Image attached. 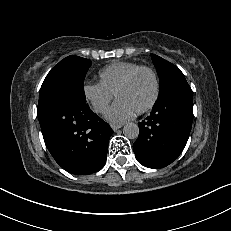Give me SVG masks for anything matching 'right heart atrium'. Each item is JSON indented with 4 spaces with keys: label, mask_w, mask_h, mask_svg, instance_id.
<instances>
[{
    "label": "right heart atrium",
    "mask_w": 231,
    "mask_h": 231,
    "mask_svg": "<svg viewBox=\"0 0 231 231\" xmlns=\"http://www.w3.org/2000/svg\"><path fill=\"white\" fill-rule=\"evenodd\" d=\"M83 95L94 112L102 114L114 98V93L100 82H86L83 85Z\"/></svg>",
    "instance_id": "d8ad5b80"
}]
</instances>
